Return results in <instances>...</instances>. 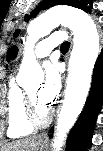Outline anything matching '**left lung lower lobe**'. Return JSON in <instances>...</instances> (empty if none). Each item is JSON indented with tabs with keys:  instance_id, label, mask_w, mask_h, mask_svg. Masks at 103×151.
<instances>
[{
	"instance_id": "1",
	"label": "left lung lower lobe",
	"mask_w": 103,
	"mask_h": 151,
	"mask_svg": "<svg viewBox=\"0 0 103 151\" xmlns=\"http://www.w3.org/2000/svg\"><path fill=\"white\" fill-rule=\"evenodd\" d=\"M101 54H103V50ZM102 93L103 55H99L94 67L90 94L76 125L68 137L66 144L67 151H82L90 147L92 131L102 106Z\"/></svg>"
}]
</instances>
